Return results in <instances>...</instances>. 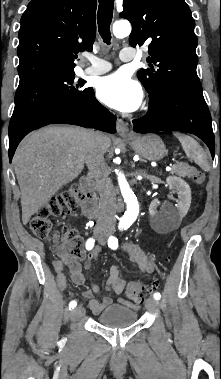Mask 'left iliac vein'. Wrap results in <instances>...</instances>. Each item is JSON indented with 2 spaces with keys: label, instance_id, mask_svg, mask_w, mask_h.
Here are the masks:
<instances>
[{
  "label": "left iliac vein",
  "instance_id": "left-iliac-vein-1",
  "mask_svg": "<svg viewBox=\"0 0 221 379\" xmlns=\"http://www.w3.org/2000/svg\"><path fill=\"white\" fill-rule=\"evenodd\" d=\"M101 244H104V240H100ZM145 306L150 311H156L158 309V301L152 297L148 298L145 302Z\"/></svg>",
  "mask_w": 221,
  "mask_h": 379
}]
</instances>
